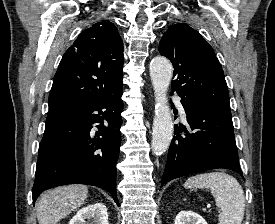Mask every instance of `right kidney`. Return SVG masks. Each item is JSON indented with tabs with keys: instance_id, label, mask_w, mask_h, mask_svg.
<instances>
[{
	"instance_id": "obj_1",
	"label": "right kidney",
	"mask_w": 275,
	"mask_h": 224,
	"mask_svg": "<svg viewBox=\"0 0 275 224\" xmlns=\"http://www.w3.org/2000/svg\"><path fill=\"white\" fill-rule=\"evenodd\" d=\"M109 224L107 208L102 203L87 205L80 209L69 224Z\"/></svg>"
}]
</instances>
